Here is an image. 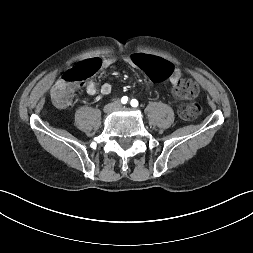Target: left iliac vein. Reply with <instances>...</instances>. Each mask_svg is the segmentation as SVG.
<instances>
[{"instance_id":"left-iliac-vein-1","label":"left iliac vein","mask_w":253,"mask_h":253,"mask_svg":"<svg viewBox=\"0 0 253 253\" xmlns=\"http://www.w3.org/2000/svg\"><path fill=\"white\" fill-rule=\"evenodd\" d=\"M121 107H122L121 105L117 104L115 108H116V109H119V108H121Z\"/></svg>"}]
</instances>
